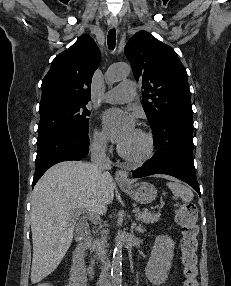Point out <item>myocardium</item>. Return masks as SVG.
Masks as SVG:
<instances>
[{"label": "myocardium", "mask_w": 231, "mask_h": 286, "mask_svg": "<svg viewBox=\"0 0 231 286\" xmlns=\"http://www.w3.org/2000/svg\"><path fill=\"white\" fill-rule=\"evenodd\" d=\"M137 132L143 137L145 141V149L142 153L132 155L127 153L122 146L118 147V153L129 162L140 164L150 159L155 151L154 138L151 133L144 129H138Z\"/></svg>", "instance_id": "obj_1"}]
</instances>
